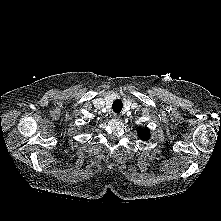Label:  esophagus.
Instances as JSON below:
<instances>
[{
	"mask_svg": "<svg viewBox=\"0 0 221 221\" xmlns=\"http://www.w3.org/2000/svg\"><path fill=\"white\" fill-rule=\"evenodd\" d=\"M120 118H121V116H120L119 114H117V113H114V114L112 115V119H113V120H120Z\"/></svg>",
	"mask_w": 221,
	"mask_h": 221,
	"instance_id": "esophagus-1",
	"label": "esophagus"
}]
</instances>
